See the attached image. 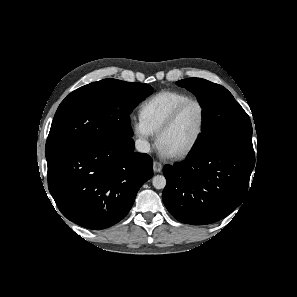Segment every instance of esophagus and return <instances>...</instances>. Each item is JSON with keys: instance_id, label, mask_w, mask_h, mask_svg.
Wrapping results in <instances>:
<instances>
[{"instance_id": "1", "label": "esophagus", "mask_w": 297, "mask_h": 297, "mask_svg": "<svg viewBox=\"0 0 297 297\" xmlns=\"http://www.w3.org/2000/svg\"><path fill=\"white\" fill-rule=\"evenodd\" d=\"M162 170V164L160 162L155 161L153 163V171L154 172H161Z\"/></svg>"}]
</instances>
